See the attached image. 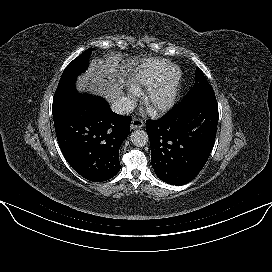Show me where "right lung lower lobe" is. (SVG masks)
Instances as JSON below:
<instances>
[{"mask_svg":"<svg viewBox=\"0 0 272 272\" xmlns=\"http://www.w3.org/2000/svg\"><path fill=\"white\" fill-rule=\"evenodd\" d=\"M53 120L60 149L78 174L102 182L119 172L130 117L114 113L101 97L74 92L53 110Z\"/></svg>","mask_w":272,"mask_h":272,"instance_id":"1","label":"right lung lower lobe"}]
</instances>
